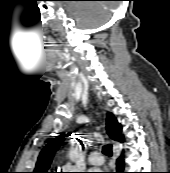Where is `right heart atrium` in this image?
Instances as JSON below:
<instances>
[{"label": "right heart atrium", "instance_id": "d8ad5b80", "mask_svg": "<svg viewBox=\"0 0 170 173\" xmlns=\"http://www.w3.org/2000/svg\"><path fill=\"white\" fill-rule=\"evenodd\" d=\"M62 169H64L63 173H72V171H70V169H72V167H70V166H64V167H62Z\"/></svg>", "mask_w": 170, "mask_h": 173}]
</instances>
